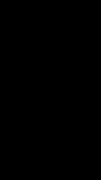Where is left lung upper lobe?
Instances as JSON below:
<instances>
[{
	"mask_svg": "<svg viewBox=\"0 0 101 180\" xmlns=\"http://www.w3.org/2000/svg\"><path fill=\"white\" fill-rule=\"evenodd\" d=\"M68 91V101L76 105L75 124L101 131V60L92 52L73 46L53 55Z\"/></svg>",
	"mask_w": 101,
	"mask_h": 180,
	"instance_id": "5c2ea615",
	"label": "left lung upper lobe"
}]
</instances>
